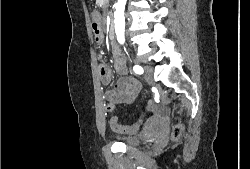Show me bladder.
<instances>
[{"instance_id":"31cf9c89","label":"bladder","mask_w":250,"mask_h":169,"mask_svg":"<svg viewBox=\"0 0 250 169\" xmlns=\"http://www.w3.org/2000/svg\"><path fill=\"white\" fill-rule=\"evenodd\" d=\"M139 134H123L116 135L115 141H120L126 146L139 147L140 146Z\"/></svg>"}]
</instances>
